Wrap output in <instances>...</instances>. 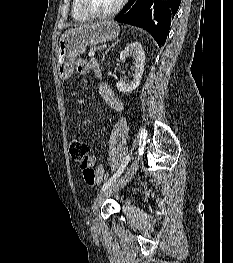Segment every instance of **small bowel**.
<instances>
[{"instance_id":"obj_1","label":"small bowel","mask_w":233,"mask_h":263,"mask_svg":"<svg viewBox=\"0 0 233 263\" xmlns=\"http://www.w3.org/2000/svg\"><path fill=\"white\" fill-rule=\"evenodd\" d=\"M91 70H93L97 76L99 77L101 76V72L98 68V65L94 60L79 59L75 64V71L78 74L85 75L89 73ZM99 92L102 95L108 107H110L112 110H114L117 113H122L124 111L123 102L118 96L115 95L113 90L106 83H101L99 85ZM95 164H96V157L94 155L88 156L86 161L87 167L94 170ZM101 170H104V167L102 165H99L94 171L98 174ZM102 181H103L102 179L97 178L94 184H99Z\"/></svg>"}]
</instances>
